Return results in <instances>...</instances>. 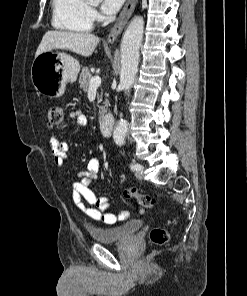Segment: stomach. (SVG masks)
I'll list each match as a JSON object with an SVG mask.
<instances>
[{
	"label": "stomach",
	"mask_w": 247,
	"mask_h": 296,
	"mask_svg": "<svg viewBox=\"0 0 247 296\" xmlns=\"http://www.w3.org/2000/svg\"><path fill=\"white\" fill-rule=\"evenodd\" d=\"M80 71L79 62L60 52H43L36 56L31 66V80L35 89L50 98L64 94L66 84L74 82Z\"/></svg>",
	"instance_id": "obj_1"
}]
</instances>
